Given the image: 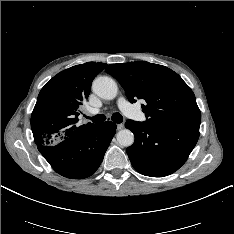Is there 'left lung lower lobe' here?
<instances>
[{
    "label": "left lung lower lobe",
    "instance_id": "1",
    "mask_svg": "<svg viewBox=\"0 0 234 234\" xmlns=\"http://www.w3.org/2000/svg\"><path fill=\"white\" fill-rule=\"evenodd\" d=\"M125 127L135 136L133 145L126 150L131 164L150 177H163L178 170L199 138V126L194 125H152L127 120Z\"/></svg>",
    "mask_w": 234,
    "mask_h": 234
}]
</instances>
